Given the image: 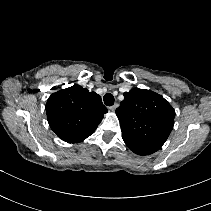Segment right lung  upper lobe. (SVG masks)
I'll return each mask as SVG.
<instances>
[{
  "instance_id": "1",
  "label": "right lung upper lobe",
  "mask_w": 211,
  "mask_h": 211,
  "mask_svg": "<svg viewBox=\"0 0 211 211\" xmlns=\"http://www.w3.org/2000/svg\"><path fill=\"white\" fill-rule=\"evenodd\" d=\"M107 112L98 94L79 85L53 93L46 103L50 127L68 143L89 137Z\"/></svg>"
}]
</instances>
